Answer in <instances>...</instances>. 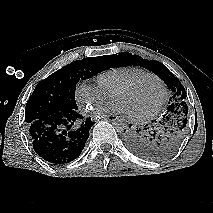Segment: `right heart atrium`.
I'll list each match as a JSON object with an SVG mask.
<instances>
[{
  "mask_svg": "<svg viewBox=\"0 0 213 213\" xmlns=\"http://www.w3.org/2000/svg\"><path fill=\"white\" fill-rule=\"evenodd\" d=\"M75 99L82 111H91L96 106L107 104L111 96L98 84L83 81L76 86Z\"/></svg>",
  "mask_w": 213,
  "mask_h": 213,
  "instance_id": "1",
  "label": "right heart atrium"
}]
</instances>
